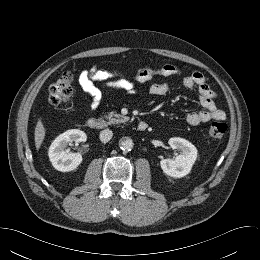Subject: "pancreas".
I'll return each mask as SVG.
<instances>
[{
    "label": "pancreas",
    "instance_id": "cf45deb5",
    "mask_svg": "<svg viewBox=\"0 0 260 260\" xmlns=\"http://www.w3.org/2000/svg\"><path fill=\"white\" fill-rule=\"evenodd\" d=\"M105 119L109 121L108 124H118L127 122L129 120V117L111 112L105 115Z\"/></svg>",
    "mask_w": 260,
    "mask_h": 260
}]
</instances>
